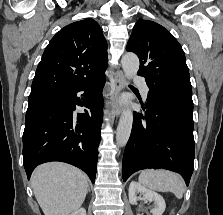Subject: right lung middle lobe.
<instances>
[{
	"label": "right lung middle lobe",
	"mask_w": 223,
	"mask_h": 215,
	"mask_svg": "<svg viewBox=\"0 0 223 215\" xmlns=\"http://www.w3.org/2000/svg\"><path fill=\"white\" fill-rule=\"evenodd\" d=\"M65 94H37V95H30L29 96V106H34L37 104H42L46 102H50L57 98L64 96Z\"/></svg>",
	"instance_id": "obj_1"
}]
</instances>
